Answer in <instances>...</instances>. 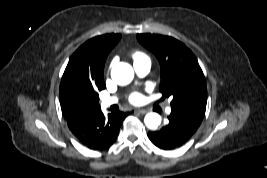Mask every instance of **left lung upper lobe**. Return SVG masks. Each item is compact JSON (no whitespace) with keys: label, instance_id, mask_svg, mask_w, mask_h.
<instances>
[{"label":"left lung upper lobe","instance_id":"5c2ea615","mask_svg":"<svg viewBox=\"0 0 267 178\" xmlns=\"http://www.w3.org/2000/svg\"><path fill=\"white\" fill-rule=\"evenodd\" d=\"M137 39L159 60V90L163 98H172V111L200 126L206 111L207 88L204 74L194 54L173 37L138 34Z\"/></svg>","mask_w":267,"mask_h":178}]
</instances>
